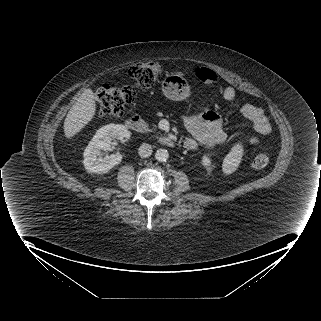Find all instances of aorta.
Returning <instances> with one entry per match:
<instances>
[{
	"label": "aorta",
	"mask_w": 321,
	"mask_h": 321,
	"mask_svg": "<svg viewBox=\"0 0 321 321\" xmlns=\"http://www.w3.org/2000/svg\"><path fill=\"white\" fill-rule=\"evenodd\" d=\"M168 157H169V153L166 149H158L155 153V158L159 162L167 161Z\"/></svg>",
	"instance_id": "1"
}]
</instances>
